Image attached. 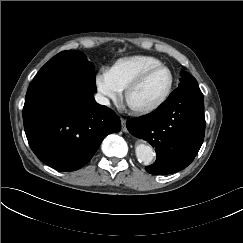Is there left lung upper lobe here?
I'll use <instances>...</instances> for the list:
<instances>
[{"mask_svg": "<svg viewBox=\"0 0 243 243\" xmlns=\"http://www.w3.org/2000/svg\"><path fill=\"white\" fill-rule=\"evenodd\" d=\"M190 84H198V83L192 75H190L187 72H182L179 86L190 85Z\"/></svg>", "mask_w": 243, "mask_h": 243, "instance_id": "1", "label": "left lung upper lobe"}]
</instances>
